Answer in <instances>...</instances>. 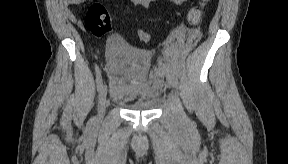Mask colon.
<instances>
[{
	"instance_id": "obj_1",
	"label": "colon",
	"mask_w": 288,
	"mask_h": 164,
	"mask_svg": "<svg viewBox=\"0 0 288 164\" xmlns=\"http://www.w3.org/2000/svg\"><path fill=\"white\" fill-rule=\"evenodd\" d=\"M202 14L203 6L197 5L189 10L187 18L191 24L195 25L199 22ZM84 24L86 29L95 37L107 35L112 30L110 13L101 3H94L89 7ZM139 38L144 42L149 40V37L144 33H140Z\"/></svg>"
}]
</instances>
